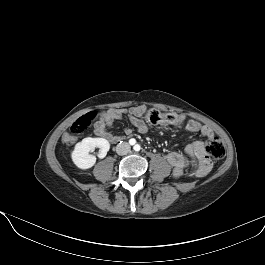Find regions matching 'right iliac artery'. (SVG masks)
Masks as SVG:
<instances>
[{
	"label": "right iliac artery",
	"mask_w": 265,
	"mask_h": 265,
	"mask_svg": "<svg viewBox=\"0 0 265 265\" xmlns=\"http://www.w3.org/2000/svg\"><path fill=\"white\" fill-rule=\"evenodd\" d=\"M130 143H131V144H135V140H134V139H131V140H130Z\"/></svg>",
	"instance_id": "right-iliac-artery-1"
}]
</instances>
